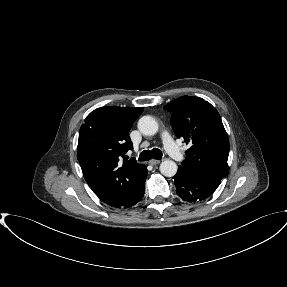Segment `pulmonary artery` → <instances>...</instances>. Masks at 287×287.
<instances>
[{
    "mask_svg": "<svg viewBox=\"0 0 287 287\" xmlns=\"http://www.w3.org/2000/svg\"><path fill=\"white\" fill-rule=\"evenodd\" d=\"M162 139L165 150L175 160L181 161L183 159V153L179 147L175 144L173 138L167 130L162 131Z\"/></svg>",
    "mask_w": 287,
    "mask_h": 287,
    "instance_id": "pulmonary-artery-1",
    "label": "pulmonary artery"
}]
</instances>
